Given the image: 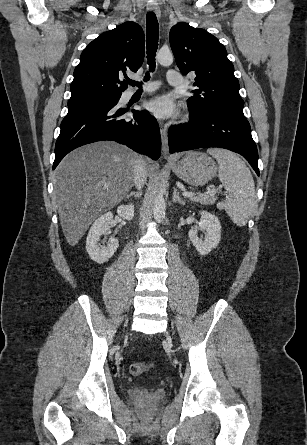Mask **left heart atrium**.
Masks as SVG:
<instances>
[{
    "mask_svg": "<svg viewBox=\"0 0 307 445\" xmlns=\"http://www.w3.org/2000/svg\"><path fill=\"white\" fill-rule=\"evenodd\" d=\"M147 110L158 118H168L174 113V105L169 96L163 95L152 99Z\"/></svg>",
    "mask_w": 307,
    "mask_h": 445,
    "instance_id": "left-heart-atrium-1",
    "label": "left heart atrium"
}]
</instances>
